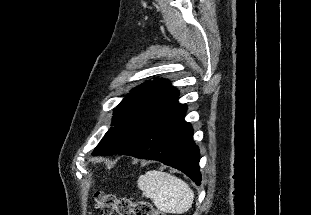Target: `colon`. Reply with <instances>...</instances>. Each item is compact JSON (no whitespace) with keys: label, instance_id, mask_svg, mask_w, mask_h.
Segmentation results:
<instances>
[{"label":"colon","instance_id":"colon-1","mask_svg":"<svg viewBox=\"0 0 311 215\" xmlns=\"http://www.w3.org/2000/svg\"><path fill=\"white\" fill-rule=\"evenodd\" d=\"M93 196L95 207L101 215H165L148 201H133L126 196L98 190L94 192Z\"/></svg>","mask_w":311,"mask_h":215}]
</instances>
